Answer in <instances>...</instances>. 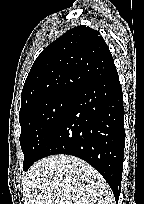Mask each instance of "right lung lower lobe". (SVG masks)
I'll list each match as a JSON object with an SVG mask.
<instances>
[{
  "label": "right lung lower lobe",
  "mask_w": 144,
  "mask_h": 204,
  "mask_svg": "<svg viewBox=\"0 0 144 204\" xmlns=\"http://www.w3.org/2000/svg\"><path fill=\"white\" fill-rule=\"evenodd\" d=\"M124 144L123 97L115 70L76 94L43 145L39 159L68 154L85 160L105 178L117 202Z\"/></svg>",
  "instance_id": "1"
}]
</instances>
